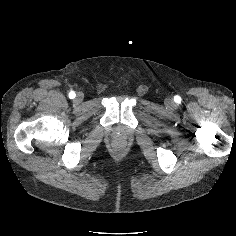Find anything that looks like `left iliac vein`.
<instances>
[{"mask_svg":"<svg viewBox=\"0 0 236 236\" xmlns=\"http://www.w3.org/2000/svg\"><path fill=\"white\" fill-rule=\"evenodd\" d=\"M168 105H173V102L171 100H167Z\"/></svg>","mask_w":236,"mask_h":236,"instance_id":"4c4485c4","label":"left iliac vein"}]
</instances>
